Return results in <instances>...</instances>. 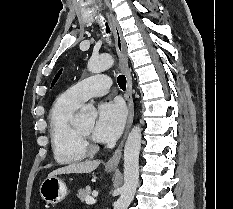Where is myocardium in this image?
Wrapping results in <instances>:
<instances>
[{
    "instance_id": "1",
    "label": "myocardium",
    "mask_w": 233,
    "mask_h": 209,
    "mask_svg": "<svg viewBox=\"0 0 233 209\" xmlns=\"http://www.w3.org/2000/svg\"><path fill=\"white\" fill-rule=\"evenodd\" d=\"M79 143L84 151L88 154H93L99 150V145L94 142L91 136L84 134L78 127H76Z\"/></svg>"
}]
</instances>
